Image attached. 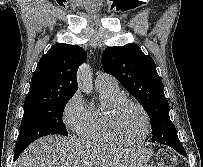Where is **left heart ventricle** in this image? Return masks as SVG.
Masks as SVG:
<instances>
[{"instance_id": "left-heart-ventricle-1", "label": "left heart ventricle", "mask_w": 203, "mask_h": 167, "mask_svg": "<svg viewBox=\"0 0 203 167\" xmlns=\"http://www.w3.org/2000/svg\"><path fill=\"white\" fill-rule=\"evenodd\" d=\"M115 128L124 139H138L144 130V118L141 111L134 105H123L116 116Z\"/></svg>"}]
</instances>
